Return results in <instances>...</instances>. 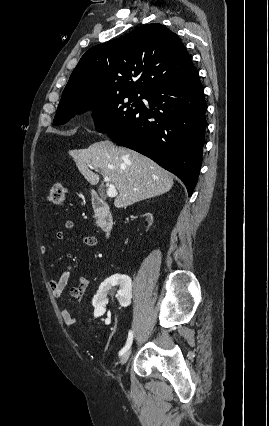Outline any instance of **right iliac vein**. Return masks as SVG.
Instances as JSON below:
<instances>
[{"label": "right iliac vein", "mask_w": 269, "mask_h": 426, "mask_svg": "<svg viewBox=\"0 0 269 426\" xmlns=\"http://www.w3.org/2000/svg\"><path fill=\"white\" fill-rule=\"evenodd\" d=\"M130 354H131V349H128L126 352H124L122 354V356H121V364L122 365H124L128 361Z\"/></svg>", "instance_id": "1"}]
</instances>
